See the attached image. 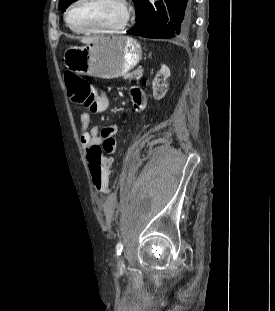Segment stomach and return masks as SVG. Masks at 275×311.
<instances>
[{
  "instance_id": "obj_1",
  "label": "stomach",
  "mask_w": 275,
  "mask_h": 311,
  "mask_svg": "<svg viewBox=\"0 0 275 311\" xmlns=\"http://www.w3.org/2000/svg\"><path fill=\"white\" fill-rule=\"evenodd\" d=\"M63 58L66 68L73 73L113 79L139 63L142 49L130 37H97L86 46L67 48Z\"/></svg>"
}]
</instances>
